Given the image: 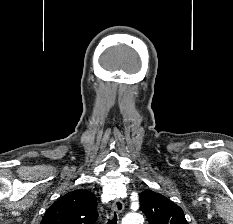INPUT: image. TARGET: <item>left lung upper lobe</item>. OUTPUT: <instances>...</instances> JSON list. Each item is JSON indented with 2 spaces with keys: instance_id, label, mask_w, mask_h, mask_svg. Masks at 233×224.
I'll list each match as a JSON object with an SVG mask.
<instances>
[{
  "instance_id": "5c2ea615",
  "label": "left lung upper lobe",
  "mask_w": 233,
  "mask_h": 224,
  "mask_svg": "<svg viewBox=\"0 0 233 224\" xmlns=\"http://www.w3.org/2000/svg\"><path fill=\"white\" fill-rule=\"evenodd\" d=\"M140 209L149 224H188L183 210L165 196L145 190L139 194Z\"/></svg>"
}]
</instances>
